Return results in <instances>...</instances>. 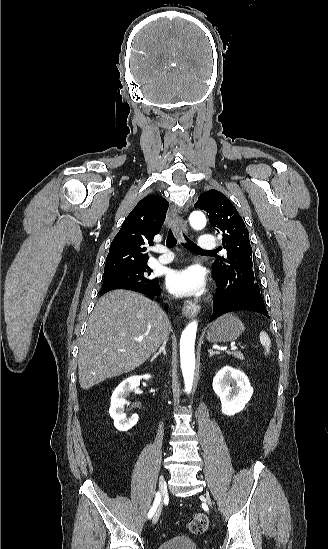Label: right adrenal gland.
Segmentation results:
<instances>
[{"label": "right adrenal gland", "mask_w": 328, "mask_h": 549, "mask_svg": "<svg viewBox=\"0 0 328 549\" xmlns=\"http://www.w3.org/2000/svg\"><path fill=\"white\" fill-rule=\"evenodd\" d=\"M165 345H166V343H163L162 347H160L158 353H155V355H154V357H152L151 361H154V359H157V357H158V355H160V353H163V355H166Z\"/></svg>", "instance_id": "obj_1"}]
</instances>
